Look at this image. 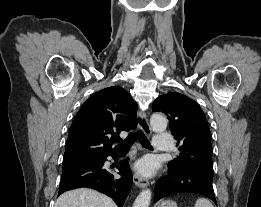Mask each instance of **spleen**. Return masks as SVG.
<instances>
[{"label": "spleen", "mask_w": 261, "mask_h": 207, "mask_svg": "<svg viewBox=\"0 0 261 207\" xmlns=\"http://www.w3.org/2000/svg\"><path fill=\"white\" fill-rule=\"evenodd\" d=\"M194 207H214V206L207 199L199 198L196 200Z\"/></svg>", "instance_id": "obj_1"}]
</instances>
